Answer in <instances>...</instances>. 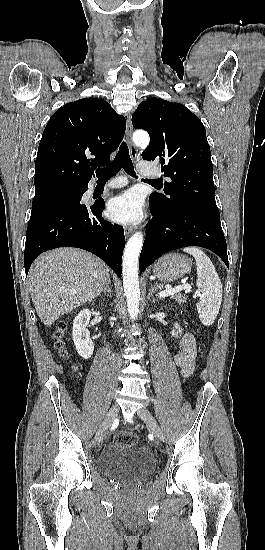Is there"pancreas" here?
<instances>
[{
  "mask_svg": "<svg viewBox=\"0 0 265 550\" xmlns=\"http://www.w3.org/2000/svg\"><path fill=\"white\" fill-rule=\"evenodd\" d=\"M159 289L163 288V285L158 286ZM171 299L175 300L179 304H184L186 302V296L180 293H175L171 295Z\"/></svg>",
  "mask_w": 265,
  "mask_h": 550,
  "instance_id": "pancreas-1",
  "label": "pancreas"
}]
</instances>
